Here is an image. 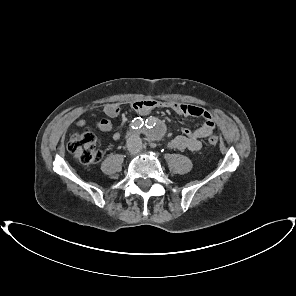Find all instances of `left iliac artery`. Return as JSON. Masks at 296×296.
<instances>
[{
  "label": "left iliac artery",
  "instance_id": "left-iliac-artery-1",
  "mask_svg": "<svg viewBox=\"0 0 296 296\" xmlns=\"http://www.w3.org/2000/svg\"><path fill=\"white\" fill-rule=\"evenodd\" d=\"M147 121H148V120H146V124H145V126L148 128V126H149V122L147 123ZM149 128H150V126H149ZM151 128H152V126H151Z\"/></svg>",
  "mask_w": 296,
  "mask_h": 296
}]
</instances>
